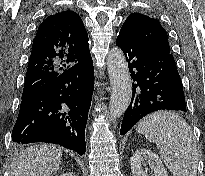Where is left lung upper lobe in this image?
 Here are the masks:
<instances>
[{"label": "left lung upper lobe", "mask_w": 205, "mask_h": 176, "mask_svg": "<svg viewBox=\"0 0 205 176\" xmlns=\"http://www.w3.org/2000/svg\"><path fill=\"white\" fill-rule=\"evenodd\" d=\"M138 41L170 53L168 36L157 19L140 13L128 16L122 28Z\"/></svg>", "instance_id": "5c2ea615"}]
</instances>
